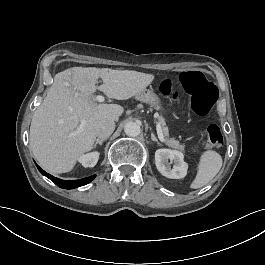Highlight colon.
Masks as SVG:
<instances>
[{
  "label": "colon",
  "mask_w": 265,
  "mask_h": 265,
  "mask_svg": "<svg viewBox=\"0 0 265 265\" xmlns=\"http://www.w3.org/2000/svg\"><path fill=\"white\" fill-rule=\"evenodd\" d=\"M181 87L190 100L191 109L200 116L208 114L219 97V90L211 81L209 74L200 68L188 70L182 77ZM160 92L171 104H180L182 101V93L172 87L169 79L163 81ZM205 133L206 141L211 148L220 150L224 147V137L216 123L208 122Z\"/></svg>",
  "instance_id": "1"
}]
</instances>
